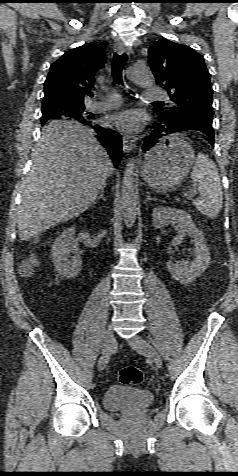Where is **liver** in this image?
Masks as SVG:
<instances>
[{"label": "liver", "mask_w": 238, "mask_h": 476, "mask_svg": "<svg viewBox=\"0 0 238 476\" xmlns=\"http://www.w3.org/2000/svg\"><path fill=\"white\" fill-rule=\"evenodd\" d=\"M31 159L17 220L21 240L86 211L114 170L94 131L73 120L44 126Z\"/></svg>", "instance_id": "1"}]
</instances>
